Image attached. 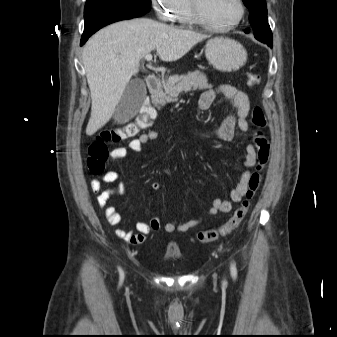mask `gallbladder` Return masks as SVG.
Wrapping results in <instances>:
<instances>
[{
    "label": "gallbladder",
    "mask_w": 337,
    "mask_h": 337,
    "mask_svg": "<svg viewBox=\"0 0 337 337\" xmlns=\"http://www.w3.org/2000/svg\"><path fill=\"white\" fill-rule=\"evenodd\" d=\"M145 94L144 81L140 78L131 80L127 84L122 99L115 110L114 119L121 123L131 119L143 104Z\"/></svg>",
    "instance_id": "1"
}]
</instances>
